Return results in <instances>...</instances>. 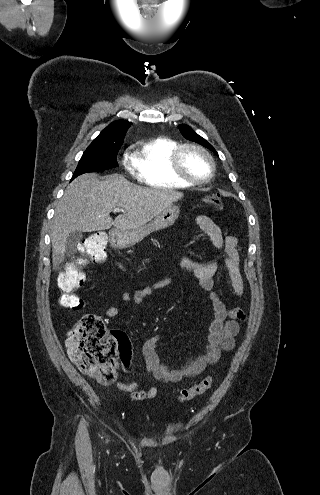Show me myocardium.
Instances as JSON below:
<instances>
[{"instance_id":"f54148a6","label":"myocardium","mask_w":320,"mask_h":495,"mask_svg":"<svg viewBox=\"0 0 320 495\" xmlns=\"http://www.w3.org/2000/svg\"><path fill=\"white\" fill-rule=\"evenodd\" d=\"M187 150H196V151L200 152L201 154H203L204 157L207 159L210 169H209V174L206 177L201 178V179L194 178V177L188 175L184 171L183 165H182V157H183L184 152ZM171 168H172L173 173L178 178L187 182L188 184L201 185V184L207 183L208 181H210L212 179V177L214 176V173H215L216 166H215V162H214L212 155L210 154V152L207 149H205L201 145H198L195 143H185V144H180L172 153V155H171Z\"/></svg>"}]
</instances>
